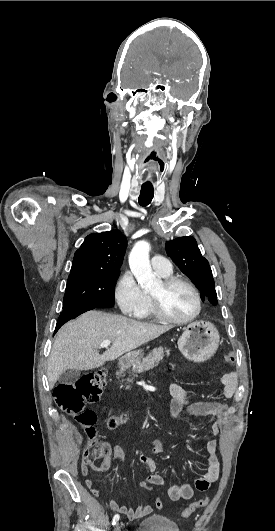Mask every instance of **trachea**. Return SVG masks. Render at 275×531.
Here are the masks:
<instances>
[{
  "instance_id": "3493384b",
  "label": "trachea",
  "mask_w": 275,
  "mask_h": 531,
  "mask_svg": "<svg viewBox=\"0 0 275 531\" xmlns=\"http://www.w3.org/2000/svg\"><path fill=\"white\" fill-rule=\"evenodd\" d=\"M154 196V188L152 186H142L139 196V204L147 206L151 203Z\"/></svg>"
}]
</instances>
